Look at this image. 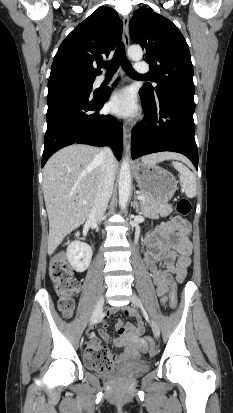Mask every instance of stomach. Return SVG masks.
Returning a JSON list of instances; mask_svg holds the SVG:
<instances>
[{"label":"stomach","instance_id":"obj_1","mask_svg":"<svg viewBox=\"0 0 233 413\" xmlns=\"http://www.w3.org/2000/svg\"><path fill=\"white\" fill-rule=\"evenodd\" d=\"M134 176L141 192L163 202H168L177 189L175 177L156 164L138 162Z\"/></svg>","mask_w":233,"mask_h":413}]
</instances>
